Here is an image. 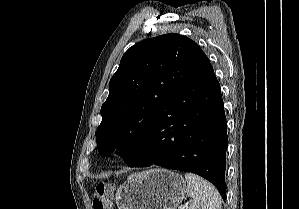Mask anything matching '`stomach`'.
Returning a JSON list of instances; mask_svg holds the SVG:
<instances>
[{"label": "stomach", "instance_id": "stomach-1", "mask_svg": "<svg viewBox=\"0 0 299 209\" xmlns=\"http://www.w3.org/2000/svg\"><path fill=\"white\" fill-rule=\"evenodd\" d=\"M182 175L156 168L132 174L116 192L118 209H175L185 197Z\"/></svg>", "mask_w": 299, "mask_h": 209}]
</instances>
